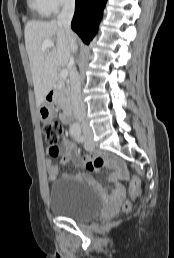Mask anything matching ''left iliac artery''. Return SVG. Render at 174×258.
Masks as SVG:
<instances>
[{
    "instance_id": "left-iliac-artery-1",
    "label": "left iliac artery",
    "mask_w": 174,
    "mask_h": 258,
    "mask_svg": "<svg viewBox=\"0 0 174 258\" xmlns=\"http://www.w3.org/2000/svg\"><path fill=\"white\" fill-rule=\"evenodd\" d=\"M73 136L77 142L82 143L84 141V138L80 135V131L76 132Z\"/></svg>"
}]
</instances>
